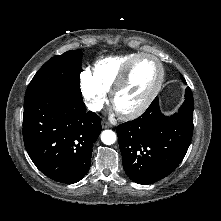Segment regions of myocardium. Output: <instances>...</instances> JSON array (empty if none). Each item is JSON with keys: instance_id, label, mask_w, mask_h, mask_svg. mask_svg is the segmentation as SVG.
<instances>
[{"instance_id": "f54148a6", "label": "myocardium", "mask_w": 221, "mask_h": 221, "mask_svg": "<svg viewBox=\"0 0 221 221\" xmlns=\"http://www.w3.org/2000/svg\"><path fill=\"white\" fill-rule=\"evenodd\" d=\"M143 58H150L156 62L159 68V77L158 80L154 86V88L151 90L149 95L146 97V99L135 109L132 110H119L115 107V100L117 95L121 92V90L125 87L127 84L130 74L136 65V63L143 59ZM165 77V70L162 62L159 60L158 57L149 54V53H140L136 57H134L122 70L120 73L118 79L116 80L115 84L113 85L111 91H110V100L112 105L114 106L116 112L124 119H134L142 115L152 104L154 99L157 97L158 93L160 92L162 88V84Z\"/></svg>"}]
</instances>
